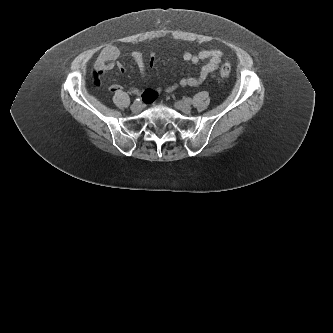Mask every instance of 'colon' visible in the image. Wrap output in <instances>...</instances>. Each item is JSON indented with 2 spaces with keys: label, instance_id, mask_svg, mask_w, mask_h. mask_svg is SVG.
Returning <instances> with one entry per match:
<instances>
[{
  "label": "colon",
  "instance_id": "colon-1",
  "mask_svg": "<svg viewBox=\"0 0 333 333\" xmlns=\"http://www.w3.org/2000/svg\"><path fill=\"white\" fill-rule=\"evenodd\" d=\"M229 73H230V65L226 63L220 68V75L221 77L225 78L229 75ZM219 85L222 86L223 82L221 81Z\"/></svg>",
  "mask_w": 333,
  "mask_h": 333
}]
</instances>
